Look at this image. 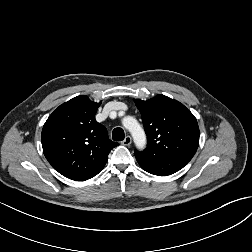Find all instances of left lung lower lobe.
Returning <instances> with one entry per match:
<instances>
[{
	"label": "left lung lower lobe",
	"mask_w": 252,
	"mask_h": 252,
	"mask_svg": "<svg viewBox=\"0 0 252 252\" xmlns=\"http://www.w3.org/2000/svg\"><path fill=\"white\" fill-rule=\"evenodd\" d=\"M143 170L158 176H167L182 169L190 160L182 157H136Z\"/></svg>",
	"instance_id": "1"
}]
</instances>
